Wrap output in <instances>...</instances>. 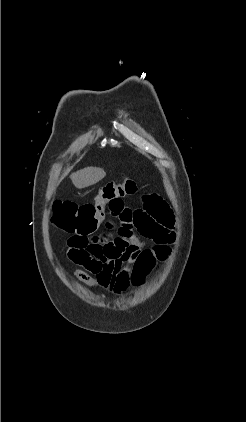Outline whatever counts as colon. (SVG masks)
Returning a JSON list of instances; mask_svg holds the SVG:
<instances>
[{
    "instance_id": "5ec220e1",
    "label": "colon",
    "mask_w": 246,
    "mask_h": 422,
    "mask_svg": "<svg viewBox=\"0 0 246 422\" xmlns=\"http://www.w3.org/2000/svg\"><path fill=\"white\" fill-rule=\"evenodd\" d=\"M136 191L137 182L132 178H126L121 182L107 183L88 203L55 201L52 206V223L67 233L82 236L90 235L97 231L111 209H121L124 204L123 198L134 194ZM167 255L168 252L159 247L141 250L133 262L132 285L134 287L141 286L156 263L163 261Z\"/></svg>"
}]
</instances>
